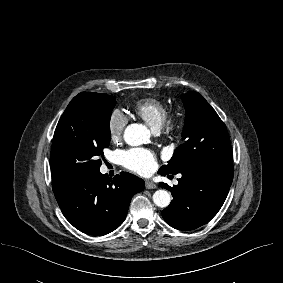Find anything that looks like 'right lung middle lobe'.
<instances>
[{"mask_svg":"<svg viewBox=\"0 0 283 283\" xmlns=\"http://www.w3.org/2000/svg\"><path fill=\"white\" fill-rule=\"evenodd\" d=\"M115 97L93 92L75 96L55 129L51 148L53 190L98 171L110 144Z\"/></svg>","mask_w":283,"mask_h":283,"instance_id":"dd1d6c3e","label":"right lung middle lobe"}]
</instances>
